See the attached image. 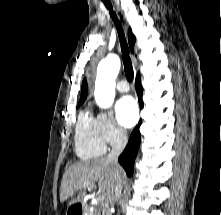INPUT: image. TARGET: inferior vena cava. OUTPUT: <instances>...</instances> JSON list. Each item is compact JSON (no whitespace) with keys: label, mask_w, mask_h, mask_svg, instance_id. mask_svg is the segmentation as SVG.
Returning <instances> with one entry per match:
<instances>
[{"label":"inferior vena cava","mask_w":221,"mask_h":215,"mask_svg":"<svg viewBox=\"0 0 221 215\" xmlns=\"http://www.w3.org/2000/svg\"><path fill=\"white\" fill-rule=\"evenodd\" d=\"M128 141V136L125 130L120 129L117 134V139L115 143L112 146L111 152L108 154L106 160L108 162H112L115 166L118 165V157L124 150L126 144ZM122 184L119 182L116 184L115 189H114V201H117L122 194ZM113 201V202H114ZM113 202H105V213L106 215H111L110 207L113 205Z\"/></svg>","instance_id":"inferior-vena-cava-1"}]
</instances>
